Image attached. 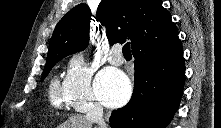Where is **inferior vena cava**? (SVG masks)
<instances>
[{
    "label": "inferior vena cava",
    "mask_w": 221,
    "mask_h": 128,
    "mask_svg": "<svg viewBox=\"0 0 221 128\" xmlns=\"http://www.w3.org/2000/svg\"><path fill=\"white\" fill-rule=\"evenodd\" d=\"M86 118L93 123H97L99 128H107L103 119V108L98 103L89 106Z\"/></svg>",
    "instance_id": "obj_1"
}]
</instances>
